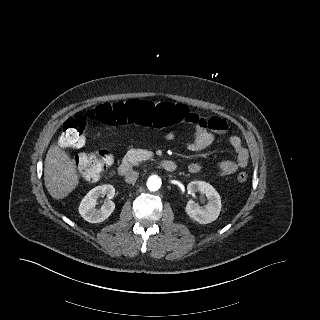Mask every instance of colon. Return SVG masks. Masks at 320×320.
Returning a JSON list of instances; mask_svg holds the SVG:
<instances>
[{"label":"colon","instance_id":"5ec220e1","mask_svg":"<svg viewBox=\"0 0 320 320\" xmlns=\"http://www.w3.org/2000/svg\"><path fill=\"white\" fill-rule=\"evenodd\" d=\"M90 117L107 125L137 124L146 127L163 128L179 123L184 118L182 105L172 103L154 104L141 99H132L119 103H104L90 112ZM86 119L73 116L62 127L60 141L68 148L81 147L85 142ZM112 156L107 151L80 153L75 165L81 175L91 181L98 180L112 164ZM239 182H245L248 174L237 175Z\"/></svg>","mask_w":320,"mask_h":320}]
</instances>
